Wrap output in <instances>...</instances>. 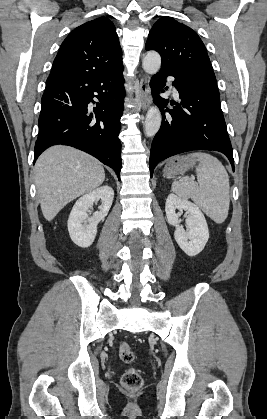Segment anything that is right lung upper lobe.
Instances as JSON below:
<instances>
[{
  "instance_id": "cb5924a9",
  "label": "right lung upper lobe",
  "mask_w": 267,
  "mask_h": 419,
  "mask_svg": "<svg viewBox=\"0 0 267 419\" xmlns=\"http://www.w3.org/2000/svg\"><path fill=\"white\" fill-rule=\"evenodd\" d=\"M122 65L114 24L105 17L75 28L63 41L49 77L111 71Z\"/></svg>"
}]
</instances>
